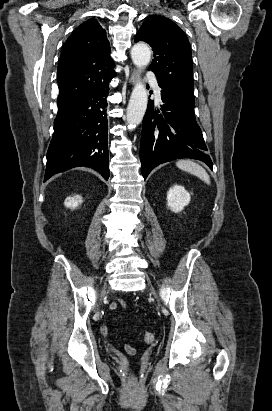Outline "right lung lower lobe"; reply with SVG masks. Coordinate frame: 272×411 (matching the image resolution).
Instances as JSON below:
<instances>
[{
    "label": "right lung lower lobe",
    "mask_w": 272,
    "mask_h": 411,
    "mask_svg": "<svg viewBox=\"0 0 272 411\" xmlns=\"http://www.w3.org/2000/svg\"><path fill=\"white\" fill-rule=\"evenodd\" d=\"M108 83L58 105L44 181L78 166L91 167L108 180Z\"/></svg>",
    "instance_id": "right-lung-lower-lobe-1"
}]
</instances>
